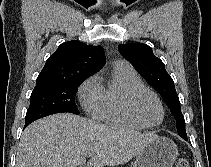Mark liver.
Listing matches in <instances>:
<instances>
[{"label": "liver", "mask_w": 211, "mask_h": 167, "mask_svg": "<svg viewBox=\"0 0 211 167\" xmlns=\"http://www.w3.org/2000/svg\"><path fill=\"white\" fill-rule=\"evenodd\" d=\"M123 127H109L69 113L39 119L22 133L16 167H86L122 165L155 138Z\"/></svg>", "instance_id": "6515ba94"}]
</instances>
